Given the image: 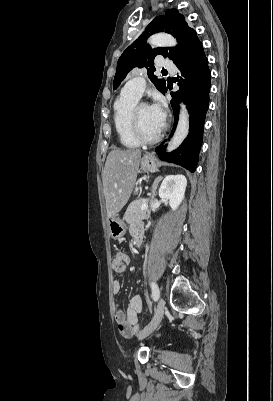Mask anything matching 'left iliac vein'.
<instances>
[{
	"mask_svg": "<svg viewBox=\"0 0 273 401\" xmlns=\"http://www.w3.org/2000/svg\"><path fill=\"white\" fill-rule=\"evenodd\" d=\"M165 311V301L163 298L159 299V302L157 304V308L154 314L153 319L150 321V323L148 325H146L138 334V339L142 340L144 338H146L147 336H149L151 333H153L157 327L159 326L163 314Z\"/></svg>",
	"mask_w": 273,
	"mask_h": 401,
	"instance_id": "4c4485c4",
	"label": "left iliac vein"
}]
</instances>
